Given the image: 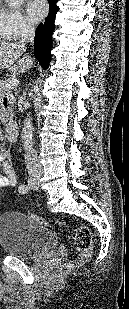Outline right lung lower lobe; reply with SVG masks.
I'll return each instance as SVG.
<instances>
[{"instance_id": "1", "label": "right lung lower lobe", "mask_w": 129, "mask_h": 309, "mask_svg": "<svg viewBox=\"0 0 129 309\" xmlns=\"http://www.w3.org/2000/svg\"><path fill=\"white\" fill-rule=\"evenodd\" d=\"M50 11L44 24H40L35 32L34 54L43 68H47L50 58L51 38L55 28L54 20L58 7V0H48Z\"/></svg>"}]
</instances>
